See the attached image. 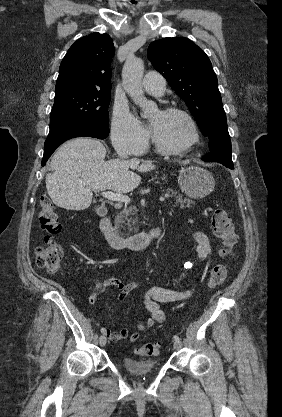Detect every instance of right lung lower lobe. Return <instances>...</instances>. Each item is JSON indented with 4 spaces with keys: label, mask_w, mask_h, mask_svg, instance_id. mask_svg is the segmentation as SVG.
Masks as SVG:
<instances>
[{
    "label": "right lung lower lobe",
    "mask_w": 282,
    "mask_h": 417,
    "mask_svg": "<svg viewBox=\"0 0 282 417\" xmlns=\"http://www.w3.org/2000/svg\"><path fill=\"white\" fill-rule=\"evenodd\" d=\"M108 134L84 122H73L52 128L44 144L42 164L45 165L55 149L68 139L83 136L105 139Z\"/></svg>",
    "instance_id": "obj_1"
}]
</instances>
